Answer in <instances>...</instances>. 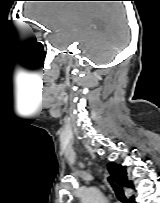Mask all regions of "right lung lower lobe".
Wrapping results in <instances>:
<instances>
[{"instance_id": "right-lung-lower-lobe-1", "label": "right lung lower lobe", "mask_w": 160, "mask_h": 203, "mask_svg": "<svg viewBox=\"0 0 160 203\" xmlns=\"http://www.w3.org/2000/svg\"><path fill=\"white\" fill-rule=\"evenodd\" d=\"M129 203H135V202H134V200H133V201H130Z\"/></svg>"}]
</instances>
